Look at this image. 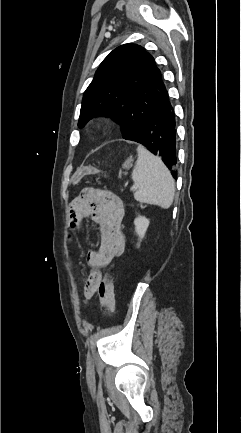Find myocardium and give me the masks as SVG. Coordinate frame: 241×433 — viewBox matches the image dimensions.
<instances>
[{
    "label": "myocardium",
    "mask_w": 241,
    "mask_h": 433,
    "mask_svg": "<svg viewBox=\"0 0 241 433\" xmlns=\"http://www.w3.org/2000/svg\"><path fill=\"white\" fill-rule=\"evenodd\" d=\"M104 127V123L102 121H96L95 123H93L92 125V131L95 134H99L102 132Z\"/></svg>",
    "instance_id": "obj_1"
}]
</instances>
